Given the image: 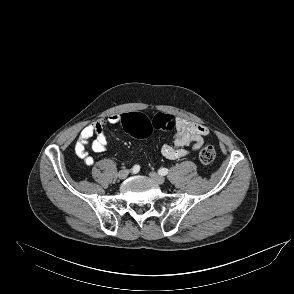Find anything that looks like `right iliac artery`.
<instances>
[{"label":"right iliac artery","instance_id":"right-iliac-artery-1","mask_svg":"<svg viewBox=\"0 0 294 294\" xmlns=\"http://www.w3.org/2000/svg\"><path fill=\"white\" fill-rule=\"evenodd\" d=\"M139 170H140V166H139V165H135V166L132 168V173H133V174H136V173L139 172Z\"/></svg>","mask_w":294,"mask_h":294}]
</instances>
